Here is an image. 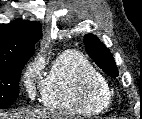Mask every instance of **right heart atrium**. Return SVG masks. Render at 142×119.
<instances>
[{
	"mask_svg": "<svg viewBox=\"0 0 142 119\" xmlns=\"http://www.w3.org/2000/svg\"><path fill=\"white\" fill-rule=\"evenodd\" d=\"M43 61L36 59L31 61L22 74V85L26 94L31 98H35L39 89L42 76Z\"/></svg>",
	"mask_w": 142,
	"mask_h": 119,
	"instance_id": "d8ad5b80",
	"label": "right heart atrium"
}]
</instances>
